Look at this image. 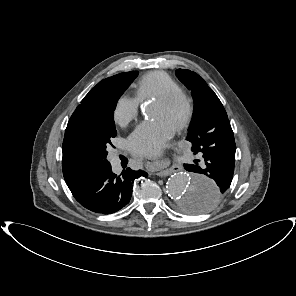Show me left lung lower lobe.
Segmentation results:
<instances>
[{
    "mask_svg": "<svg viewBox=\"0 0 296 296\" xmlns=\"http://www.w3.org/2000/svg\"><path fill=\"white\" fill-rule=\"evenodd\" d=\"M203 147V165L184 164V168L195 173L194 176H204L215 181L217 192L211 193L203 199L193 200V212H202L214 205L227 191L232 182L235 164L236 145L230 122L217 126L205 136Z\"/></svg>",
    "mask_w": 296,
    "mask_h": 296,
    "instance_id": "0a47b994",
    "label": "left lung lower lobe"
}]
</instances>
